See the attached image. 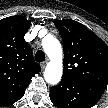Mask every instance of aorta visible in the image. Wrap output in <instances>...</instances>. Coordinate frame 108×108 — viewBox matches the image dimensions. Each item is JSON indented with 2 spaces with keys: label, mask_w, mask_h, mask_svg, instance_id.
Here are the masks:
<instances>
[{
  "label": "aorta",
  "mask_w": 108,
  "mask_h": 108,
  "mask_svg": "<svg viewBox=\"0 0 108 108\" xmlns=\"http://www.w3.org/2000/svg\"><path fill=\"white\" fill-rule=\"evenodd\" d=\"M42 47L49 57L45 71L44 79L51 85L60 82L63 74V51L60 42L53 35L49 34L42 40Z\"/></svg>",
  "instance_id": "obj_1"
}]
</instances>
